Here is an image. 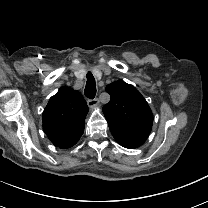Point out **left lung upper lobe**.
<instances>
[{
    "instance_id": "1",
    "label": "left lung upper lobe",
    "mask_w": 208,
    "mask_h": 208,
    "mask_svg": "<svg viewBox=\"0 0 208 208\" xmlns=\"http://www.w3.org/2000/svg\"><path fill=\"white\" fill-rule=\"evenodd\" d=\"M106 91L111 99L103 106V113L109 126L133 132H151L153 114L133 85L120 79L107 85Z\"/></svg>"
}]
</instances>
